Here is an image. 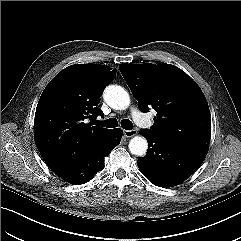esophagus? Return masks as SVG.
Here are the masks:
<instances>
[{"instance_id":"esophagus-1","label":"esophagus","mask_w":241,"mask_h":241,"mask_svg":"<svg viewBox=\"0 0 241 241\" xmlns=\"http://www.w3.org/2000/svg\"><path fill=\"white\" fill-rule=\"evenodd\" d=\"M123 134L125 137H134L138 134L136 129H132V130H123Z\"/></svg>"}]
</instances>
